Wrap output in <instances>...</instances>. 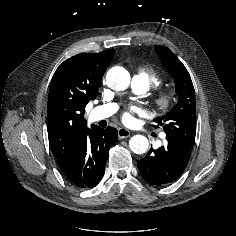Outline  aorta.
<instances>
[{
  "mask_svg": "<svg viewBox=\"0 0 236 236\" xmlns=\"http://www.w3.org/2000/svg\"><path fill=\"white\" fill-rule=\"evenodd\" d=\"M130 74L123 67H113L106 75L107 85L116 91H123L128 88L130 84ZM129 147L132 152L136 154H144L149 148V141L143 135H134L129 140Z\"/></svg>",
  "mask_w": 236,
  "mask_h": 236,
  "instance_id": "1",
  "label": "aorta"
}]
</instances>
